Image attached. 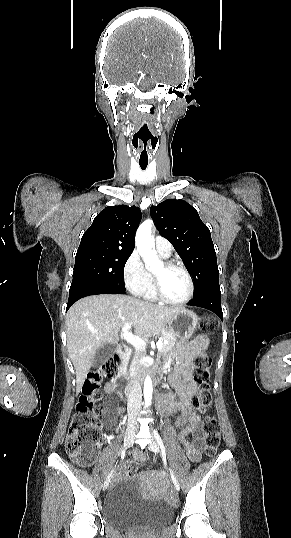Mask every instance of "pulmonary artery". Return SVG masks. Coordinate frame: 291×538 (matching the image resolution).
Segmentation results:
<instances>
[{"mask_svg":"<svg viewBox=\"0 0 291 538\" xmlns=\"http://www.w3.org/2000/svg\"><path fill=\"white\" fill-rule=\"evenodd\" d=\"M154 246L157 252L164 258H168L171 256L173 248L171 243L167 239L161 236H157L155 238Z\"/></svg>","mask_w":291,"mask_h":538,"instance_id":"e3ab8cb5","label":"pulmonary artery"}]
</instances>
